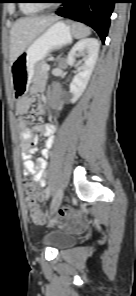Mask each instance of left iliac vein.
<instances>
[{"instance_id":"left-iliac-vein-1","label":"left iliac vein","mask_w":136,"mask_h":296,"mask_svg":"<svg viewBox=\"0 0 136 296\" xmlns=\"http://www.w3.org/2000/svg\"><path fill=\"white\" fill-rule=\"evenodd\" d=\"M63 198V191L59 189L54 196L51 206H50V213L53 214L56 212V210L59 208Z\"/></svg>"}]
</instances>
